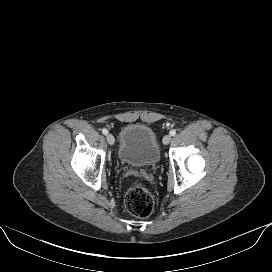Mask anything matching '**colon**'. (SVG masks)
Wrapping results in <instances>:
<instances>
[{
	"label": "colon",
	"mask_w": 272,
	"mask_h": 272,
	"mask_svg": "<svg viewBox=\"0 0 272 272\" xmlns=\"http://www.w3.org/2000/svg\"><path fill=\"white\" fill-rule=\"evenodd\" d=\"M125 206L132 215L146 218L153 210V197L142 182L134 180L127 190Z\"/></svg>",
	"instance_id": "obj_1"
}]
</instances>
